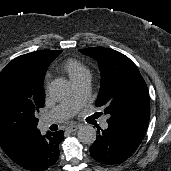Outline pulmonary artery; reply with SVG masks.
<instances>
[{"label": "pulmonary artery", "mask_w": 171, "mask_h": 171, "mask_svg": "<svg viewBox=\"0 0 171 171\" xmlns=\"http://www.w3.org/2000/svg\"><path fill=\"white\" fill-rule=\"evenodd\" d=\"M74 96L67 102L61 103L51 109L43 118L45 125H51L72 117L77 110L85 103L90 93V76L82 77L74 82ZM101 127L106 129L108 123L106 118L102 119Z\"/></svg>", "instance_id": "obj_1"}]
</instances>
